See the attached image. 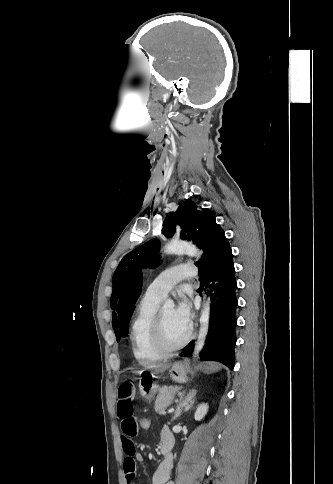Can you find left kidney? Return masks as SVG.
Instances as JSON below:
<instances>
[{"instance_id":"5707ae66","label":"left kidney","mask_w":333,"mask_h":484,"mask_svg":"<svg viewBox=\"0 0 333 484\" xmlns=\"http://www.w3.org/2000/svg\"><path fill=\"white\" fill-rule=\"evenodd\" d=\"M207 412H208V405L207 404L203 403V404L199 405L197 407V410H196L195 415H194L195 420H197V421L202 420L205 417V415L207 414Z\"/></svg>"}]
</instances>
